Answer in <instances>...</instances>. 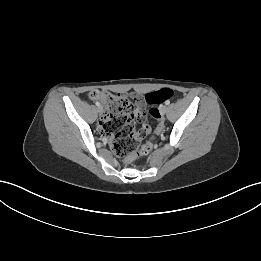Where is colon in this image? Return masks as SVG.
Instances as JSON below:
<instances>
[{"label": "colon", "instance_id": "obj_1", "mask_svg": "<svg viewBox=\"0 0 261 261\" xmlns=\"http://www.w3.org/2000/svg\"><path fill=\"white\" fill-rule=\"evenodd\" d=\"M91 100L98 99L105 106V112L100 124L102 132L113 137L112 148L114 152L123 158L125 162H131L140 155L147 153L151 148V143L140 145V131H136L133 118V103L120 94L107 91L93 90L89 93ZM174 97V91L164 88L144 96L149 104H157L165 99ZM150 115L158 120L159 127L152 135L159 136L164 128V117L161 116L159 109L151 108Z\"/></svg>", "mask_w": 261, "mask_h": 261}]
</instances>
